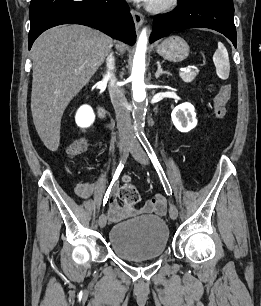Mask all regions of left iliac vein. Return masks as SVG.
I'll return each instance as SVG.
<instances>
[{"label":"left iliac vein","instance_id":"obj_1","mask_svg":"<svg viewBox=\"0 0 261 306\" xmlns=\"http://www.w3.org/2000/svg\"><path fill=\"white\" fill-rule=\"evenodd\" d=\"M127 150L132 154V156L137 160L139 163L143 165H148L149 164V159L137 141L135 137H131L128 145H127ZM169 215L171 219L175 220L178 217V209L175 204L171 203L169 207Z\"/></svg>","mask_w":261,"mask_h":306}]
</instances>
